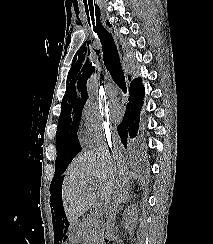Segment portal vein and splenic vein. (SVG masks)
<instances>
[{
	"mask_svg": "<svg viewBox=\"0 0 213 244\" xmlns=\"http://www.w3.org/2000/svg\"><path fill=\"white\" fill-rule=\"evenodd\" d=\"M92 186H93V187H97V184H96V183H94Z\"/></svg>",
	"mask_w": 213,
	"mask_h": 244,
	"instance_id": "obj_1",
	"label": "portal vein and splenic vein"
}]
</instances>
